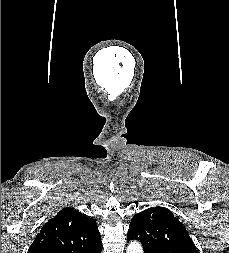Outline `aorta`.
Returning <instances> with one entry per match:
<instances>
[{"label": "aorta", "mask_w": 229, "mask_h": 253, "mask_svg": "<svg viewBox=\"0 0 229 253\" xmlns=\"http://www.w3.org/2000/svg\"><path fill=\"white\" fill-rule=\"evenodd\" d=\"M126 253H143L142 245L139 242H131L126 250Z\"/></svg>", "instance_id": "obj_1"}]
</instances>
